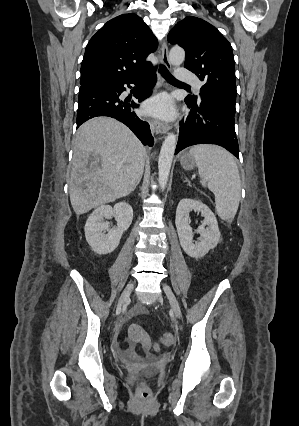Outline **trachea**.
<instances>
[{
	"label": "trachea",
	"instance_id": "trachea-1",
	"mask_svg": "<svg viewBox=\"0 0 299 426\" xmlns=\"http://www.w3.org/2000/svg\"><path fill=\"white\" fill-rule=\"evenodd\" d=\"M159 71L162 74V76L171 83H182L178 81L175 77L172 76V74L167 70V68L164 65H161L159 67Z\"/></svg>",
	"mask_w": 299,
	"mask_h": 426
}]
</instances>
